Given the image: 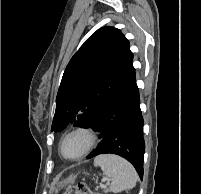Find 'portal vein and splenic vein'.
Wrapping results in <instances>:
<instances>
[{
	"mask_svg": "<svg viewBox=\"0 0 201 194\" xmlns=\"http://www.w3.org/2000/svg\"><path fill=\"white\" fill-rule=\"evenodd\" d=\"M108 181H109V180H108ZM100 186H101L102 188H104V187H105V185H104L103 183H101V184H100Z\"/></svg>",
	"mask_w": 201,
	"mask_h": 194,
	"instance_id": "portal-vein-and-splenic-vein-1",
	"label": "portal vein and splenic vein"
}]
</instances>
